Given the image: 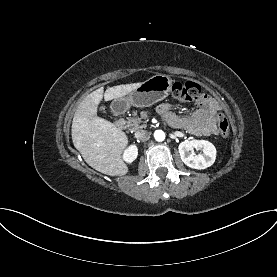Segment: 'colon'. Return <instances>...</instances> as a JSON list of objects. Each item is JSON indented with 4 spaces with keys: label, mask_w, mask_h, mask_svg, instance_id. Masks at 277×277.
<instances>
[{
    "label": "colon",
    "mask_w": 277,
    "mask_h": 277,
    "mask_svg": "<svg viewBox=\"0 0 277 277\" xmlns=\"http://www.w3.org/2000/svg\"><path fill=\"white\" fill-rule=\"evenodd\" d=\"M173 97L181 104H191L202 98L201 87L191 81L176 82L172 89ZM219 132L223 137L229 134V124L223 114L218 115Z\"/></svg>",
    "instance_id": "colon-1"
}]
</instances>
